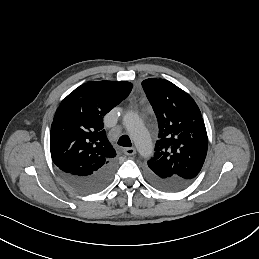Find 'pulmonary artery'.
Listing matches in <instances>:
<instances>
[{"mask_svg":"<svg viewBox=\"0 0 259 259\" xmlns=\"http://www.w3.org/2000/svg\"><path fill=\"white\" fill-rule=\"evenodd\" d=\"M124 128L126 130V132L128 133V135L135 140L136 139V125L132 122L130 117H126L124 119Z\"/></svg>","mask_w":259,"mask_h":259,"instance_id":"1","label":"pulmonary artery"}]
</instances>
